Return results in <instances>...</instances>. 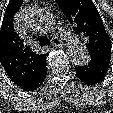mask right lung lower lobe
Segmentation results:
<instances>
[{
    "label": "right lung lower lobe",
    "mask_w": 113,
    "mask_h": 113,
    "mask_svg": "<svg viewBox=\"0 0 113 113\" xmlns=\"http://www.w3.org/2000/svg\"><path fill=\"white\" fill-rule=\"evenodd\" d=\"M46 74H47V69H46V71L43 73V75H41V76L37 79V81L27 89V91H34V90H36L37 88H39V87L43 84V81H44V79H45V77H46Z\"/></svg>",
    "instance_id": "1"
}]
</instances>
